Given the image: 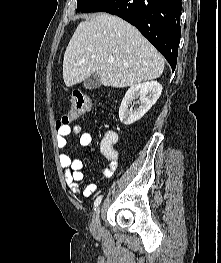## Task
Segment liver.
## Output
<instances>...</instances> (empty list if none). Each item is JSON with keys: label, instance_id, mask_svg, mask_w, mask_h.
Here are the masks:
<instances>
[{"label": "liver", "instance_id": "6515ba94", "mask_svg": "<svg viewBox=\"0 0 221 263\" xmlns=\"http://www.w3.org/2000/svg\"><path fill=\"white\" fill-rule=\"evenodd\" d=\"M163 70L164 59L153 45L135 27L106 13L78 25L63 59L67 87L95 72L104 86L128 87L156 79Z\"/></svg>", "mask_w": 221, "mask_h": 263}]
</instances>
